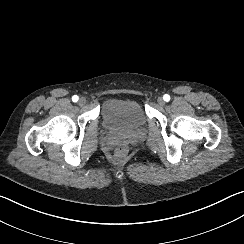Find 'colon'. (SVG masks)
<instances>
[{
    "label": "colon",
    "instance_id": "obj_1",
    "mask_svg": "<svg viewBox=\"0 0 244 244\" xmlns=\"http://www.w3.org/2000/svg\"><path fill=\"white\" fill-rule=\"evenodd\" d=\"M116 155L119 158H125V157H127L128 150H127L126 145H124V144L117 145V147H116Z\"/></svg>",
    "mask_w": 244,
    "mask_h": 244
}]
</instances>
